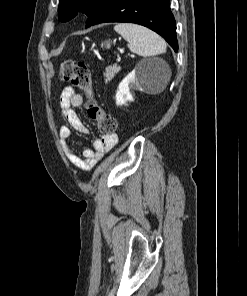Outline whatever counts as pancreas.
<instances>
[{"label": "pancreas", "instance_id": "obj_1", "mask_svg": "<svg viewBox=\"0 0 247 296\" xmlns=\"http://www.w3.org/2000/svg\"><path fill=\"white\" fill-rule=\"evenodd\" d=\"M120 70L121 68L116 64L107 67L104 73L105 82L111 81Z\"/></svg>", "mask_w": 247, "mask_h": 296}]
</instances>
